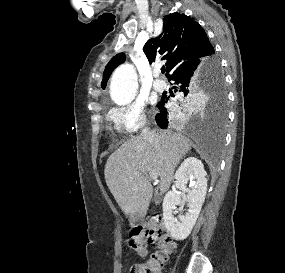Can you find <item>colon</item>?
Instances as JSON below:
<instances>
[{
	"mask_svg": "<svg viewBox=\"0 0 285 273\" xmlns=\"http://www.w3.org/2000/svg\"><path fill=\"white\" fill-rule=\"evenodd\" d=\"M151 243H157L159 251L147 261L134 266L131 273H162L169 255L175 249V243L169 237L167 230L161 225L160 220H154V223L148 228L136 230L127 241V246L138 255L145 256L148 245Z\"/></svg>",
	"mask_w": 285,
	"mask_h": 273,
	"instance_id": "1",
	"label": "colon"
}]
</instances>
